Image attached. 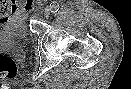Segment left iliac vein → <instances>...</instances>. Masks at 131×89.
<instances>
[{"label":"left iliac vein","instance_id":"obj_1","mask_svg":"<svg viewBox=\"0 0 131 89\" xmlns=\"http://www.w3.org/2000/svg\"><path fill=\"white\" fill-rule=\"evenodd\" d=\"M50 14H51V9H50V8H46V9L44 10V16H45L46 18H48V17L50 16Z\"/></svg>","mask_w":131,"mask_h":89}]
</instances>
